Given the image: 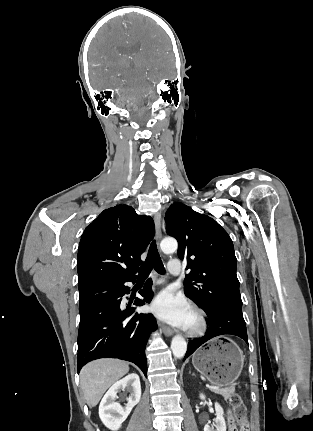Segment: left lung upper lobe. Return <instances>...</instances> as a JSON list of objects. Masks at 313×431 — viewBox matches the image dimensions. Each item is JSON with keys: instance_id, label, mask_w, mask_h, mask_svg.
Instances as JSON below:
<instances>
[{"instance_id": "left-lung-upper-lobe-1", "label": "left lung upper lobe", "mask_w": 313, "mask_h": 431, "mask_svg": "<svg viewBox=\"0 0 313 431\" xmlns=\"http://www.w3.org/2000/svg\"><path fill=\"white\" fill-rule=\"evenodd\" d=\"M167 233L187 260L184 292L207 314L222 307L242 308L237 259L227 232L212 218L175 203L165 215Z\"/></svg>"}]
</instances>
